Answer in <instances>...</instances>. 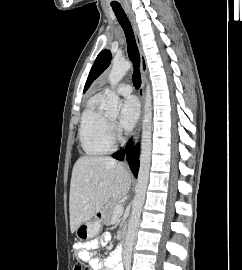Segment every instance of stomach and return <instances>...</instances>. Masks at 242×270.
I'll use <instances>...</instances> for the list:
<instances>
[{
  "mask_svg": "<svg viewBox=\"0 0 242 270\" xmlns=\"http://www.w3.org/2000/svg\"><path fill=\"white\" fill-rule=\"evenodd\" d=\"M101 222V219L95 218L80 224L75 231L76 238L80 241L94 238L100 231Z\"/></svg>",
  "mask_w": 242,
  "mask_h": 270,
  "instance_id": "obj_1",
  "label": "stomach"
}]
</instances>
